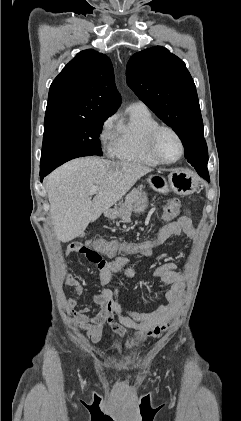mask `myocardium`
I'll return each mask as SVG.
<instances>
[{
	"label": "myocardium",
	"instance_id": "f54148a6",
	"mask_svg": "<svg viewBox=\"0 0 241 421\" xmlns=\"http://www.w3.org/2000/svg\"><path fill=\"white\" fill-rule=\"evenodd\" d=\"M163 131H168L170 133H172L176 139L179 142L180 145V153L178 155L177 158H175L174 160H164L158 150H157V140L158 137L160 135L161 132ZM147 146H148V150L150 152V154L160 163V164H164V165H170V164H174L176 162H178L182 156L184 155L185 152V145L183 142V139L181 137V135L171 126H167V125H158L156 126L154 129L151 130V132L148 135V140H147Z\"/></svg>",
	"mask_w": 241,
	"mask_h": 421
}]
</instances>
